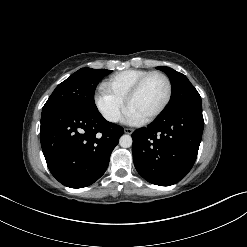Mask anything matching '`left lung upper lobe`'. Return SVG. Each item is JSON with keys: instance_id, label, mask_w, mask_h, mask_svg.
Returning a JSON list of instances; mask_svg holds the SVG:
<instances>
[{"instance_id": "5c2ea615", "label": "left lung upper lobe", "mask_w": 247, "mask_h": 247, "mask_svg": "<svg viewBox=\"0 0 247 247\" xmlns=\"http://www.w3.org/2000/svg\"><path fill=\"white\" fill-rule=\"evenodd\" d=\"M165 72L172 84V96L166 110H171L188 104H201V97L187 77L169 67H157Z\"/></svg>"}]
</instances>
